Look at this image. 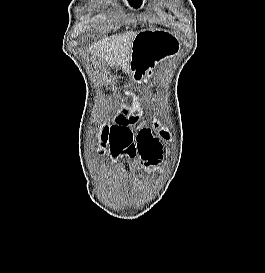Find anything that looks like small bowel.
Here are the masks:
<instances>
[{
    "label": "small bowel",
    "mask_w": 265,
    "mask_h": 273,
    "mask_svg": "<svg viewBox=\"0 0 265 273\" xmlns=\"http://www.w3.org/2000/svg\"><path fill=\"white\" fill-rule=\"evenodd\" d=\"M136 99V96H133ZM142 104H129L130 119L124 124L106 126L102 132V140L105 146L115 158L139 157L142 165L150 170L158 169L164 160V150L160 138L154 135L150 128H143L139 135L135 136L129 129L133 124H140L141 115H145ZM119 123H123L118 117Z\"/></svg>",
    "instance_id": "1"
}]
</instances>
